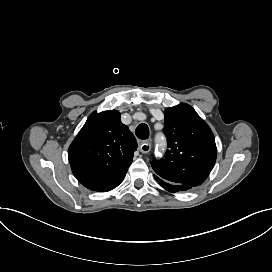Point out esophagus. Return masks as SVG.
<instances>
[{"mask_svg":"<svg viewBox=\"0 0 272 272\" xmlns=\"http://www.w3.org/2000/svg\"><path fill=\"white\" fill-rule=\"evenodd\" d=\"M151 150V145L147 142L141 143L140 151L142 153H148Z\"/></svg>","mask_w":272,"mask_h":272,"instance_id":"esophagus-1","label":"esophagus"}]
</instances>
